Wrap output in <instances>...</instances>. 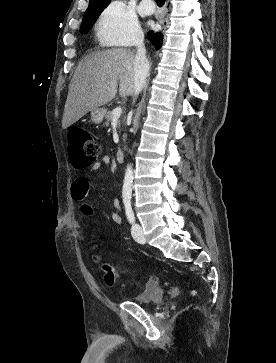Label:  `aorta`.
I'll return each instance as SVG.
<instances>
[{"label": "aorta", "mask_w": 276, "mask_h": 363, "mask_svg": "<svg viewBox=\"0 0 276 363\" xmlns=\"http://www.w3.org/2000/svg\"><path fill=\"white\" fill-rule=\"evenodd\" d=\"M134 175L132 165H128L125 177H124V184L122 189V197L123 200H130L132 195V183H133Z\"/></svg>", "instance_id": "762f6f07"}]
</instances>
